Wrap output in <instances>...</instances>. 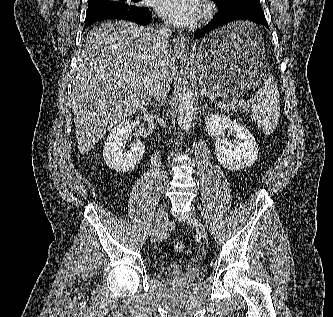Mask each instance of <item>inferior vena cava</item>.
Segmentation results:
<instances>
[{"label":"inferior vena cava","instance_id":"1","mask_svg":"<svg viewBox=\"0 0 333 317\" xmlns=\"http://www.w3.org/2000/svg\"><path fill=\"white\" fill-rule=\"evenodd\" d=\"M154 31V36L158 41L159 51L165 53L169 48V39L172 36V32L169 28L161 26ZM164 60L160 61L159 67L160 70L153 83V96L156 100L161 101V104H164L166 95L170 90V80L164 72Z\"/></svg>","mask_w":333,"mask_h":317}]
</instances>
